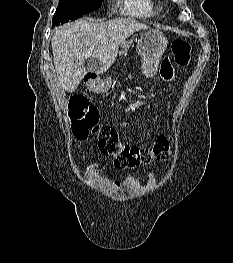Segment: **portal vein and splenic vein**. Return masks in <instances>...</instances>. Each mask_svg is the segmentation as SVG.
I'll use <instances>...</instances> for the list:
<instances>
[{
  "instance_id": "obj_1",
  "label": "portal vein and splenic vein",
  "mask_w": 233,
  "mask_h": 263,
  "mask_svg": "<svg viewBox=\"0 0 233 263\" xmlns=\"http://www.w3.org/2000/svg\"><path fill=\"white\" fill-rule=\"evenodd\" d=\"M92 50H93V48H90V49L88 50V53H91Z\"/></svg>"
}]
</instances>
